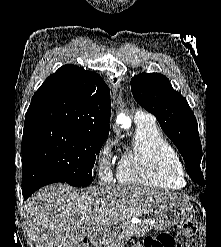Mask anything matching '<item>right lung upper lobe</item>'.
I'll list each match as a JSON object with an SVG mask.
<instances>
[{
  "label": "right lung upper lobe",
  "mask_w": 221,
  "mask_h": 247,
  "mask_svg": "<svg viewBox=\"0 0 221 247\" xmlns=\"http://www.w3.org/2000/svg\"><path fill=\"white\" fill-rule=\"evenodd\" d=\"M110 91L96 73L67 64L50 75L32 97L24 129L67 126L107 137Z\"/></svg>",
  "instance_id": "right-lung-upper-lobe-1"
}]
</instances>
